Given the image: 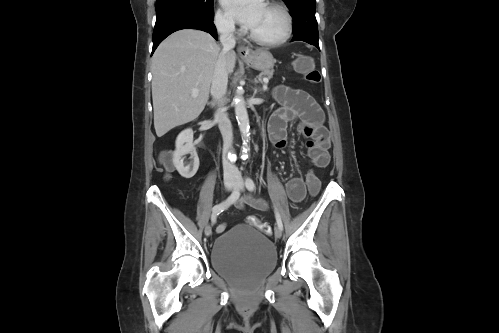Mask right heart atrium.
<instances>
[{
	"label": "right heart atrium",
	"mask_w": 499,
	"mask_h": 333,
	"mask_svg": "<svg viewBox=\"0 0 499 333\" xmlns=\"http://www.w3.org/2000/svg\"><path fill=\"white\" fill-rule=\"evenodd\" d=\"M214 25L218 32L224 35H233L236 32L235 25L231 18L221 9H218L214 16Z\"/></svg>",
	"instance_id": "1"
}]
</instances>
